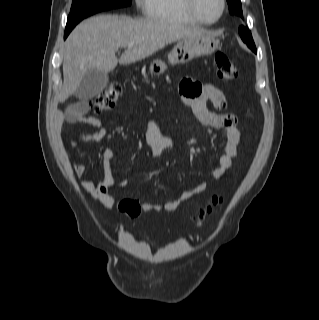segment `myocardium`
Segmentation results:
<instances>
[{"mask_svg":"<svg viewBox=\"0 0 319 320\" xmlns=\"http://www.w3.org/2000/svg\"><path fill=\"white\" fill-rule=\"evenodd\" d=\"M185 1V7L187 9L188 14L190 17L196 21L198 24L202 25H213L218 23L224 16L226 11V0H220L221 8L218 17H216L214 20H206L200 16L196 9V0H184Z\"/></svg>","mask_w":319,"mask_h":320,"instance_id":"obj_1","label":"myocardium"}]
</instances>
